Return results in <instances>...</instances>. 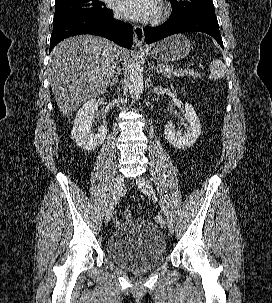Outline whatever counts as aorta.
<instances>
[{"instance_id": "1", "label": "aorta", "mask_w": 272, "mask_h": 303, "mask_svg": "<svg viewBox=\"0 0 272 303\" xmlns=\"http://www.w3.org/2000/svg\"><path fill=\"white\" fill-rule=\"evenodd\" d=\"M144 89V80L141 66L137 59L132 60L130 65L129 92L132 98L138 99Z\"/></svg>"}]
</instances>
